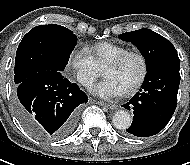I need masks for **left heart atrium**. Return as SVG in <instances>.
<instances>
[{"mask_svg": "<svg viewBox=\"0 0 190 165\" xmlns=\"http://www.w3.org/2000/svg\"><path fill=\"white\" fill-rule=\"evenodd\" d=\"M92 92L104 98H112L123 94L124 91L113 79L105 78L92 88Z\"/></svg>", "mask_w": 190, "mask_h": 165, "instance_id": "obj_1", "label": "left heart atrium"}]
</instances>
